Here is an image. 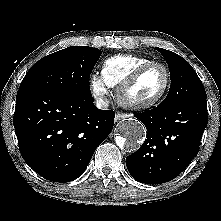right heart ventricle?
I'll return each instance as SVG.
<instances>
[{"mask_svg": "<svg viewBox=\"0 0 221 221\" xmlns=\"http://www.w3.org/2000/svg\"><path fill=\"white\" fill-rule=\"evenodd\" d=\"M153 62L146 56L115 55L106 59L102 67V77L109 87H118L139 67Z\"/></svg>", "mask_w": 221, "mask_h": 221, "instance_id": "right-heart-ventricle-1", "label": "right heart ventricle"}]
</instances>
